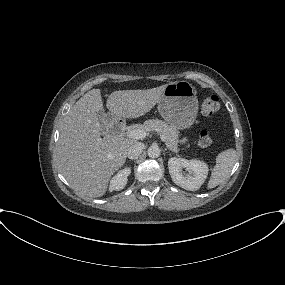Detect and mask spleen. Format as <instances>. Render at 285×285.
Masks as SVG:
<instances>
[{
    "label": "spleen",
    "instance_id": "1",
    "mask_svg": "<svg viewBox=\"0 0 285 285\" xmlns=\"http://www.w3.org/2000/svg\"><path fill=\"white\" fill-rule=\"evenodd\" d=\"M237 160L236 151L227 149L218 154L207 188L212 189L220 185L230 174Z\"/></svg>",
    "mask_w": 285,
    "mask_h": 285
}]
</instances>
